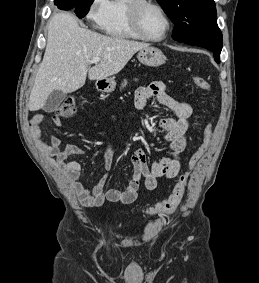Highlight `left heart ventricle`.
Returning <instances> with one entry per match:
<instances>
[{
	"instance_id": "left-heart-ventricle-1",
	"label": "left heart ventricle",
	"mask_w": 259,
	"mask_h": 283,
	"mask_svg": "<svg viewBox=\"0 0 259 283\" xmlns=\"http://www.w3.org/2000/svg\"><path fill=\"white\" fill-rule=\"evenodd\" d=\"M142 26L145 33L153 38L162 37L167 29L163 15L155 8H146L142 14Z\"/></svg>"
}]
</instances>
